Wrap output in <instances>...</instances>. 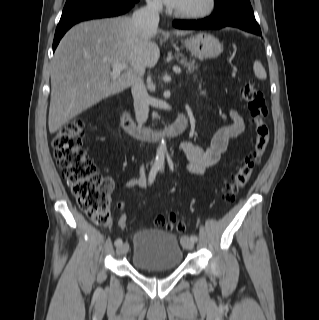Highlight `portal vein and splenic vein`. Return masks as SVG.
I'll use <instances>...</instances> for the list:
<instances>
[{"instance_id":"18ae733b","label":"portal vein and splenic vein","mask_w":319,"mask_h":320,"mask_svg":"<svg viewBox=\"0 0 319 320\" xmlns=\"http://www.w3.org/2000/svg\"><path fill=\"white\" fill-rule=\"evenodd\" d=\"M112 77L115 78L117 77L118 75H120V73L123 71V70H126L128 69V65L125 64V63H114L112 66ZM173 71L175 73H181V69L180 67H173Z\"/></svg>"}]
</instances>
